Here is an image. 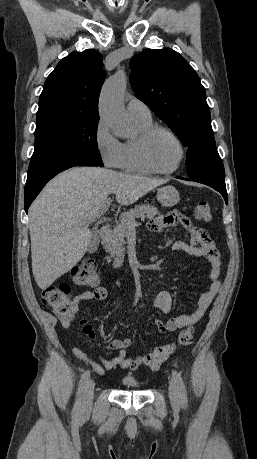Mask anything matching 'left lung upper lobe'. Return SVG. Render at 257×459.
I'll return each instance as SVG.
<instances>
[{
	"instance_id": "left-lung-upper-lobe-1",
	"label": "left lung upper lobe",
	"mask_w": 257,
	"mask_h": 459,
	"mask_svg": "<svg viewBox=\"0 0 257 459\" xmlns=\"http://www.w3.org/2000/svg\"><path fill=\"white\" fill-rule=\"evenodd\" d=\"M130 67L135 96L171 127L188 149L190 179L225 180L205 88L195 70L170 48L144 50L131 59Z\"/></svg>"
}]
</instances>
